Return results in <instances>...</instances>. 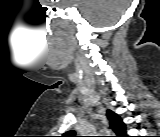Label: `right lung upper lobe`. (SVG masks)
Listing matches in <instances>:
<instances>
[{"instance_id": "cb5924a9", "label": "right lung upper lobe", "mask_w": 160, "mask_h": 137, "mask_svg": "<svg viewBox=\"0 0 160 137\" xmlns=\"http://www.w3.org/2000/svg\"><path fill=\"white\" fill-rule=\"evenodd\" d=\"M107 117L109 119L110 127L112 130L119 136L123 135V133H125L126 126L122 119L111 110L107 111Z\"/></svg>"}]
</instances>
